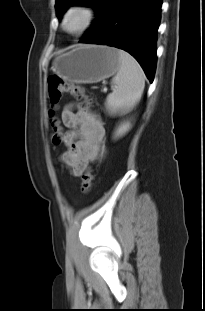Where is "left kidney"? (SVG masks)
<instances>
[{"instance_id":"5707ae66","label":"left kidney","mask_w":205,"mask_h":311,"mask_svg":"<svg viewBox=\"0 0 205 311\" xmlns=\"http://www.w3.org/2000/svg\"><path fill=\"white\" fill-rule=\"evenodd\" d=\"M130 123H123L116 131V136H122L130 129Z\"/></svg>"}]
</instances>
